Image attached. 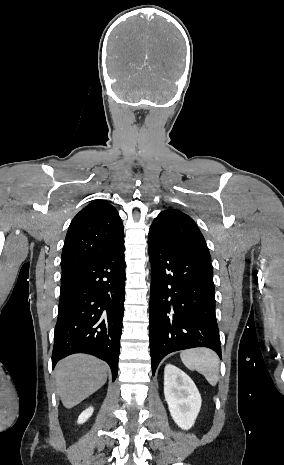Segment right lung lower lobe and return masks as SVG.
Wrapping results in <instances>:
<instances>
[{"label": "right lung lower lobe", "instance_id": "1", "mask_svg": "<svg viewBox=\"0 0 284 465\" xmlns=\"http://www.w3.org/2000/svg\"><path fill=\"white\" fill-rule=\"evenodd\" d=\"M124 242L97 260L63 272L52 353L56 363L74 353L106 361L118 372L125 295Z\"/></svg>", "mask_w": 284, "mask_h": 465}]
</instances>
